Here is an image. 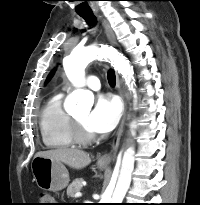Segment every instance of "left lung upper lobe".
I'll list each match as a JSON object with an SVG mask.
<instances>
[{
	"mask_svg": "<svg viewBox=\"0 0 200 205\" xmlns=\"http://www.w3.org/2000/svg\"><path fill=\"white\" fill-rule=\"evenodd\" d=\"M53 74H54V70L50 73V75L48 76V79H47V81L53 76Z\"/></svg>",
	"mask_w": 200,
	"mask_h": 205,
	"instance_id": "1",
	"label": "left lung upper lobe"
}]
</instances>
